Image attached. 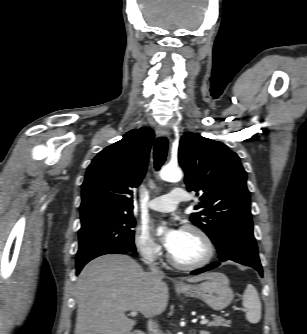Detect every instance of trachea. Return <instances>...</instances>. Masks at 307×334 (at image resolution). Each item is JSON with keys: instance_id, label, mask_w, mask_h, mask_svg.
I'll list each match as a JSON object with an SVG mask.
<instances>
[{"instance_id": "obj_1", "label": "trachea", "mask_w": 307, "mask_h": 334, "mask_svg": "<svg viewBox=\"0 0 307 334\" xmlns=\"http://www.w3.org/2000/svg\"><path fill=\"white\" fill-rule=\"evenodd\" d=\"M168 140L165 137L157 138L154 144V167L159 171L167 156Z\"/></svg>"}]
</instances>
